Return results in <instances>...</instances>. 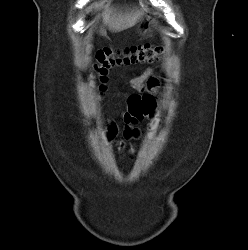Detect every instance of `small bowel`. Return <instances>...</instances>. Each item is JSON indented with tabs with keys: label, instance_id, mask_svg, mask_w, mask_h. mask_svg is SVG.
<instances>
[{
	"label": "small bowel",
	"instance_id": "obj_1",
	"mask_svg": "<svg viewBox=\"0 0 248 250\" xmlns=\"http://www.w3.org/2000/svg\"><path fill=\"white\" fill-rule=\"evenodd\" d=\"M151 73H152L151 69L146 70L141 76L135 78L132 81L133 86L136 88H143L144 86H148L149 88L154 87L156 85L155 81H150L149 83L146 84V80L151 75ZM151 116H152V112L148 117H151ZM137 119L138 118L132 113L130 109L124 114V121L126 124H132ZM116 132H117L116 126L114 124H111L108 127L107 136L109 138H113ZM128 135L136 136L137 132L133 129H130L128 131ZM123 147H124V143H120V148H123Z\"/></svg>",
	"mask_w": 248,
	"mask_h": 250
}]
</instances>
